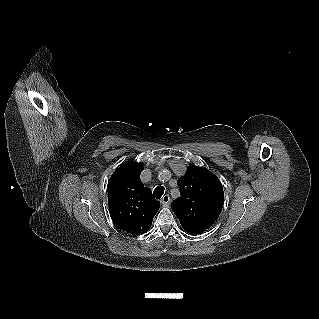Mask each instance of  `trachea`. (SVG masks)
<instances>
[{"mask_svg":"<svg viewBox=\"0 0 319 319\" xmlns=\"http://www.w3.org/2000/svg\"><path fill=\"white\" fill-rule=\"evenodd\" d=\"M164 190L165 188L163 186H157L153 191L154 197L157 199L161 198L164 194Z\"/></svg>","mask_w":319,"mask_h":319,"instance_id":"3493384b","label":"trachea"}]
</instances>
